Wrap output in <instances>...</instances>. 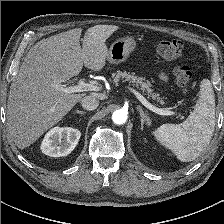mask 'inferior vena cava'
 Listing matches in <instances>:
<instances>
[{"mask_svg": "<svg viewBox=\"0 0 224 224\" xmlns=\"http://www.w3.org/2000/svg\"><path fill=\"white\" fill-rule=\"evenodd\" d=\"M81 105L86 110H94L99 105V100L94 96H85L81 99Z\"/></svg>", "mask_w": 224, "mask_h": 224, "instance_id": "602c4592", "label": "inferior vena cava"}]
</instances>
